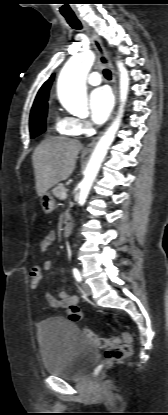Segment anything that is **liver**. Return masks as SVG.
Listing matches in <instances>:
<instances>
[{"label": "liver", "mask_w": 168, "mask_h": 415, "mask_svg": "<svg viewBox=\"0 0 168 415\" xmlns=\"http://www.w3.org/2000/svg\"><path fill=\"white\" fill-rule=\"evenodd\" d=\"M81 149L79 141L63 137H51L40 143L32 155L38 196L71 175Z\"/></svg>", "instance_id": "obj_1"}]
</instances>
